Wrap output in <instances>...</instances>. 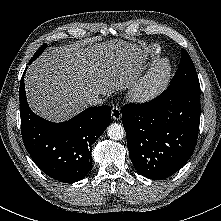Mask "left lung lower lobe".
I'll return each instance as SVG.
<instances>
[{"label":"left lung lower lobe","mask_w":221,"mask_h":221,"mask_svg":"<svg viewBox=\"0 0 221 221\" xmlns=\"http://www.w3.org/2000/svg\"><path fill=\"white\" fill-rule=\"evenodd\" d=\"M122 123L135 169L149 179H166L191 157L200 123V87H168L144 104H127Z\"/></svg>","instance_id":"left-lung-lower-lobe-1"}]
</instances>
